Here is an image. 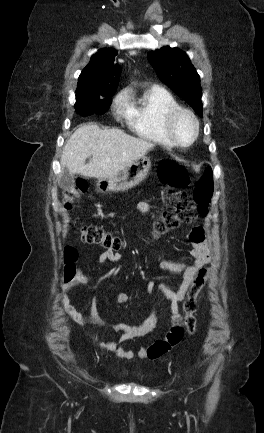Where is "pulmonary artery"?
Instances as JSON below:
<instances>
[{"label": "pulmonary artery", "instance_id": "obj_1", "mask_svg": "<svg viewBox=\"0 0 264 433\" xmlns=\"http://www.w3.org/2000/svg\"><path fill=\"white\" fill-rule=\"evenodd\" d=\"M154 88H159L158 86H154Z\"/></svg>", "mask_w": 264, "mask_h": 433}]
</instances>
